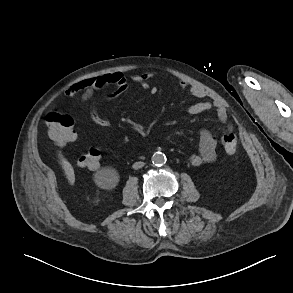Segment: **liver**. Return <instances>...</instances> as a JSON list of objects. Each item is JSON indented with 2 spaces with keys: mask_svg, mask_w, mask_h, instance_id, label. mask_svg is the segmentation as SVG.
I'll use <instances>...</instances> for the list:
<instances>
[{
  "mask_svg": "<svg viewBox=\"0 0 293 293\" xmlns=\"http://www.w3.org/2000/svg\"><path fill=\"white\" fill-rule=\"evenodd\" d=\"M62 162V168L66 174V177L69 181L70 184H74L75 182V174H74V170L73 167L71 166V164L64 158L61 159Z\"/></svg>",
  "mask_w": 293,
  "mask_h": 293,
  "instance_id": "6515ba94",
  "label": "liver"
}]
</instances>
